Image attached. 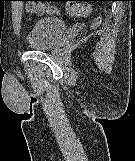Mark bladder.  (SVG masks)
Listing matches in <instances>:
<instances>
[{"instance_id": "1", "label": "bladder", "mask_w": 135, "mask_h": 161, "mask_svg": "<svg viewBox=\"0 0 135 161\" xmlns=\"http://www.w3.org/2000/svg\"><path fill=\"white\" fill-rule=\"evenodd\" d=\"M66 31L65 23L57 17L38 18L31 24L25 40L32 49L54 47Z\"/></svg>"}]
</instances>
